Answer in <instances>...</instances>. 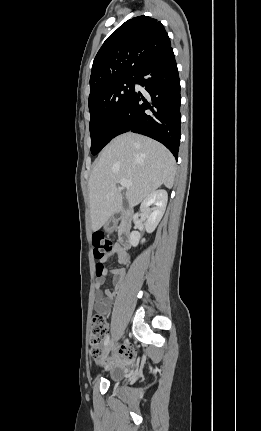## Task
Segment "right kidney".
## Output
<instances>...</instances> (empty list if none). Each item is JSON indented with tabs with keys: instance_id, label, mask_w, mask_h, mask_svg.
Wrapping results in <instances>:
<instances>
[{
	"instance_id": "obj_1",
	"label": "right kidney",
	"mask_w": 261,
	"mask_h": 431,
	"mask_svg": "<svg viewBox=\"0 0 261 431\" xmlns=\"http://www.w3.org/2000/svg\"><path fill=\"white\" fill-rule=\"evenodd\" d=\"M168 201V195L165 190H156L143 200L140 206V214L137 213L134 215V219H138L139 215H143L146 217L145 229L147 233H152L157 227L158 223L162 219L166 205ZM151 205H155L154 208L150 209ZM141 240V235L137 231H133L130 234V242L132 246H137ZM141 242H145V239H142Z\"/></svg>"
}]
</instances>
